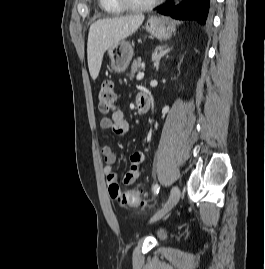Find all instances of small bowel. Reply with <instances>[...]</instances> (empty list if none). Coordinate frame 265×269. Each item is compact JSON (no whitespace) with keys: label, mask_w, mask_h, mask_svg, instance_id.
<instances>
[{"label":"small bowel","mask_w":265,"mask_h":269,"mask_svg":"<svg viewBox=\"0 0 265 269\" xmlns=\"http://www.w3.org/2000/svg\"><path fill=\"white\" fill-rule=\"evenodd\" d=\"M99 125L102 129L111 130L118 136L125 135L129 130V123L125 119L124 113L121 109H117L111 117H102L99 121ZM101 153L105 161L104 173L106 176V181L109 187H118V177L113 171V165L116 162V154L109 145H104L101 149ZM144 160L145 153L143 151H136L131 154L130 167L124 177L125 185H131L137 180Z\"/></svg>","instance_id":"small-bowel-1"}]
</instances>
